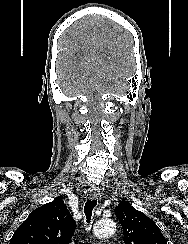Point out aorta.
Instances as JSON below:
<instances>
[{"label": "aorta", "instance_id": "aorta-1", "mask_svg": "<svg viewBox=\"0 0 188 244\" xmlns=\"http://www.w3.org/2000/svg\"><path fill=\"white\" fill-rule=\"evenodd\" d=\"M93 231L98 237H108L115 233L116 225L113 220L104 219L95 224Z\"/></svg>", "mask_w": 188, "mask_h": 244}]
</instances>
